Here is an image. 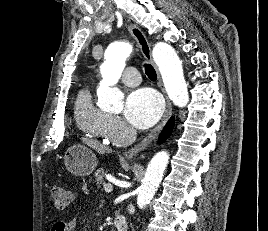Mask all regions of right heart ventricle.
<instances>
[{
	"instance_id": "obj_1",
	"label": "right heart ventricle",
	"mask_w": 268,
	"mask_h": 231,
	"mask_svg": "<svg viewBox=\"0 0 268 231\" xmlns=\"http://www.w3.org/2000/svg\"><path fill=\"white\" fill-rule=\"evenodd\" d=\"M76 124L86 136L108 141V126L111 116L95 105L90 88L84 87L77 95L74 106Z\"/></svg>"
}]
</instances>
